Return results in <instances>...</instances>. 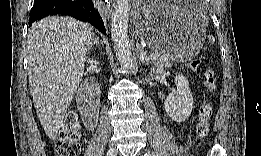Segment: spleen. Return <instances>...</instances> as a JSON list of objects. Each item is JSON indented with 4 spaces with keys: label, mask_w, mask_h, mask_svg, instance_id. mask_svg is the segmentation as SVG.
Segmentation results:
<instances>
[{
    "label": "spleen",
    "mask_w": 261,
    "mask_h": 156,
    "mask_svg": "<svg viewBox=\"0 0 261 156\" xmlns=\"http://www.w3.org/2000/svg\"><path fill=\"white\" fill-rule=\"evenodd\" d=\"M209 41L212 42V43H214V42H215V38L210 35V36H209Z\"/></svg>",
    "instance_id": "obj_1"
}]
</instances>
